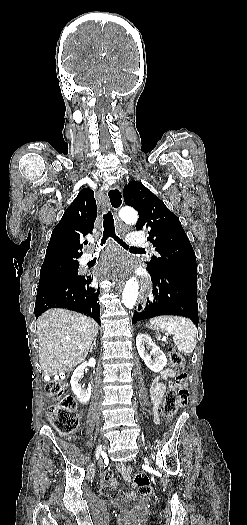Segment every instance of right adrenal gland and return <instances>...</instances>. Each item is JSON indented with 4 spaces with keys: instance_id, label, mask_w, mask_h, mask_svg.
<instances>
[{
    "instance_id": "right-adrenal-gland-1",
    "label": "right adrenal gland",
    "mask_w": 247,
    "mask_h": 525,
    "mask_svg": "<svg viewBox=\"0 0 247 525\" xmlns=\"http://www.w3.org/2000/svg\"><path fill=\"white\" fill-rule=\"evenodd\" d=\"M93 347H96V339H94V343H93V345H91V347H90V349H89L90 353H91Z\"/></svg>"
}]
</instances>
